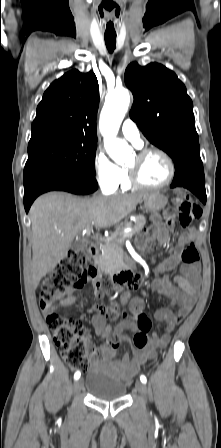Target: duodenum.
<instances>
[{
	"label": "duodenum",
	"instance_id": "410a0bca",
	"mask_svg": "<svg viewBox=\"0 0 221 448\" xmlns=\"http://www.w3.org/2000/svg\"><path fill=\"white\" fill-rule=\"evenodd\" d=\"M91 259L97 263L100 258V250L97 247H91L89 249ZM109 280L114 285L134 287L137 282V277L128 269H122L113 272L109 275Z\"/></svg>",
	"mask_w": 221,
	"mask_h": 448
}]
</instances>
